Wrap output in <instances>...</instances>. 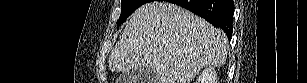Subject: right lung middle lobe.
Masks as SVG:
<instances>
[{
    "instance_id": "1",
    "label": "right lung middle lobe",
    "mask_w": 307,
    "mask_h": 83,
    "mask_svg": "<svg viewBox=\"0 0 307 83\" xmlns=\"http://www.w3.org/2000/svg\"><path fill=\"white\" fill-rule=\"evenodd\" d=\"M152 0H121V15L117 26L121 25L138 7Z\"/></svg>"
}]
</instances>
